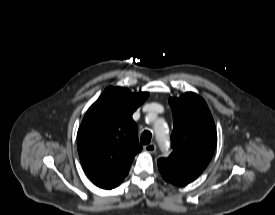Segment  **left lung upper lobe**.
I'll return each mask as SVG.
<instances>
[{
    "label": "left lung upper lobe",
    "mask_w": 275,
    "mask_h": 215,
    "mask_svg": "<svg viewBox=\"0 0 275 215\" xmlns=\"http://www.w3.org/2000/svg\"><path fill=\"white\" fill-rule=\"evenodd\" d=\"M169 104L174 118L173 152L158 160V168L164 180L182 186L195 180L209 164L217 143L216 128L206 102L197 94L170 98Z\"/></svg>",
    "instance_id": "1"
}]
</instances>
